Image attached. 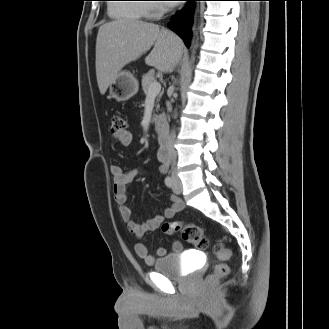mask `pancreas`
<instances>
[{
	"label": "pancreas",
	"instance_id": "obj_1",
	"mask_svg": "<svg viewBox=\"0 0 329 329\" xmlns=\"http://www.w3.org/2000/svg\"><path fill=\"white\" fill-rule=\"evenodd\" d=\"M156 81L154 74L152 72L146 73L142 76V89L144 91V94L148 96V91L151 83ZM162 96V93L158 94L157 102L160 100V97ZM159 108V105H157V109ZM157 120V115L154 114L153 121Z\"/></svg>",
	"mask_w": 329,
	"mask_h": 329
}]
</instances>
